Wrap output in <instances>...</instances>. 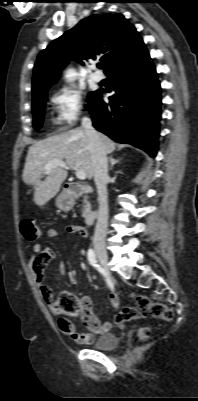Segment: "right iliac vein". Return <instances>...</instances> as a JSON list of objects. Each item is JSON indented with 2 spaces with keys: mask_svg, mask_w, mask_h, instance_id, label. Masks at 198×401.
I'll return each mask as SVG.
<instances>
[{
  "mask_svg": "<svg viewBox=\"0 0 198 401\" xmlns=\"http://www.w3.org/2000/svg\"><path fill=\"white\" fill-rule=\"evenodd\" d=\"M95 251H96V256L99 259L101 265L104 267V269L109 274V271H108V255H107V252H106L105 248L102 247V246H96L95 247Z\"/></svg>",
  "mask_w": 198,
  "mask_h": 401,
  "instance_id": "63e3f726",
  "label": "right iliac vein"
}]
</instances>
